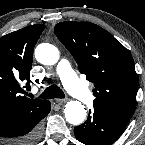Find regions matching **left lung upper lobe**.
I'll return each instance as SVG.
<instances>
[{"mask_svg":"<svg viewBox=\"0 0 145 145\" xmlns=\"http://www.w3.org/2000/svg\"><path fill=\"white\" fill-rule=\"evenodd\" d=\"M54 32L94 83V111L127 124L136 101L138 75L130 52L109 32L89 22H61Z\"/></svg>","mask_w":145,"mask_h":145,"instance_id":"1","label":"left lung upper lobe"}]
</instances>
